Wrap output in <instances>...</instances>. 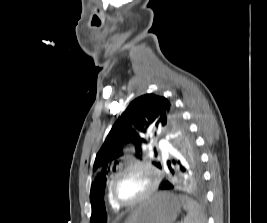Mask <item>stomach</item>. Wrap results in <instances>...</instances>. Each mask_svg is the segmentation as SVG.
Here are the masks:
<instances>
[{
	"instance_id": "1",
	"label": "stomach",
	"mask_w": 267,
	"mask_h": 223,
	"mask_svg": "<svg viewBox=\"0 0 267 223\" xmlns=\"http://www.w3.org/2000/svg\"><path fill=\"white\" fill-rule=\"evenodd\" d=\"M181 209V200L170 192L156 193L143 201L126 223H174Z\"/></svg>"
}]
</instances>
